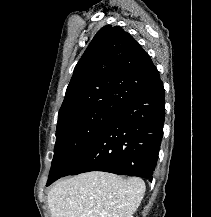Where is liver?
Instances as JSON below:
<instances>
[{"mask_svg":"<svg viewBox=\"0 0 211 217\" xmlns=\"http://www.w3.org/2000/svg\"><path fill=\"white\" fill-rule=\"evenodd\" d=\"M145 193L137 177L88 172L57 182L48 193L51 217H127Z\"/></svg>","mask_w":211,"mask_h":217,"instance_id":"6515ba94","label":"liver"}]
</instances>
